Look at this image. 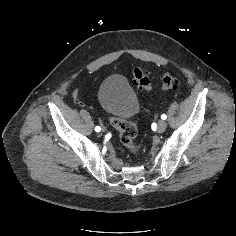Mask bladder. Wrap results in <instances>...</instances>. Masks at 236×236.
I'll return each mask as SVG.
<instances>
[{"label":"bladder","instance_id":"obj_1","mask_svg":"<svg viewBox=\"0 0 236 236\" xmlns=\"http://www.w3.org/2000/svg\"><path fill=\"white\" fill-rule=\"evenodd\" d=\"M98 100L102 109L111 118L130 121L141 109L136 94L121 75H111L100 84Z\"/></svg>","mask_w":236,"mask_h":236}]
</instances>
